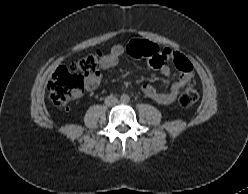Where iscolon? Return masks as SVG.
Listing matches in <instances>:
<instances>
[{
  "label": "colon",
  "mask_w": 248,
  "mask_h": 194,
  "mask_svg": "<svg viewBox=\"0 0 248 194\" xmlns=\"http://www.w3.org/2000/svg\"><path fill=\"white\" fill-rule=\"evenodd\" d=\"M128 53L135 58H154L155 64L165 62L166 58H159L158 47L149 41L134 40L127 46ZM173 57L177 62L183 60L182 55L174 53ZM101 56L99 53H91L83 56L78 61L59 67L52 75L48 89L51 100L58 106H63L74 98L78 97L85 88V80L90 76L99 73ZM199 98L198 90L193 81H189L179 96V103L183 107L194 105Z\"/></svg>",
  "instance_id": "obj_1"
}]
</instances>
